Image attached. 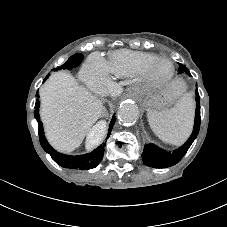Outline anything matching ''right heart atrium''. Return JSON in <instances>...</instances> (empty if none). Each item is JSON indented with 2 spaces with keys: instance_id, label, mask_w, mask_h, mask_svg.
<instances>
[{
  "instance_id": "right-heart-atrium-1",
  "label": "right heart atrium",
  "mask_w": 227,
  "mask_h": 227,
  "mask_svg": "<svg viewBox=\"0 0 227 227\" xmlns=\"http://www.w3.org/2000/svg\"><path fill=\"white\" fill-rule=\"evenodd\" d=\"M86 75L93 83L99 86H107L109 79L107 77L103 62L96 57L88 59L86 65Z\"/></svg>"
}]
</instances>
